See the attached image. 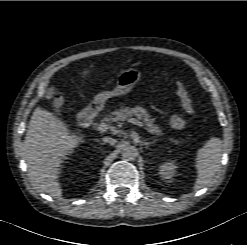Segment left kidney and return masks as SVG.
Masks as SVG:
<instances>
[{"instance_id": "5707ae66", "label": "left kidney", "mask_w": 247, "mask_h": 245, "mask_svg": "<svg viewBox=\"0 0 247 245\" xmlns=\"http://www.w3.org/2000/svg\"><path fill=\"white\" fill-rule=\"evenodd\" d=\"M177 166L174 164V162H164L160 166V176L162 179L165 180H171L176 173Z\"/></svg>"}]
</instances>
